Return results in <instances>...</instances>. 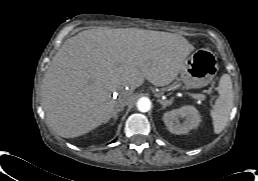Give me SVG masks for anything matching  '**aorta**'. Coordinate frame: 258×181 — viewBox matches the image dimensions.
Returning <instances> with one entry per match:
<instances>
[{"label": "aorta", "mask_w": 258, "mask_h": 181, "mask_svg": "<svg viewBox=\"0 0 258 181\" xmlns=\"http://www.w3.org/2000/svg\"><path fill=\"white\" fill-rule=\"evenodd\" d=\"M137 108L140 112H148L151 108V102L148 98L142 97L137 101Z\"/></svg>", "instance_id": "1"}]
</instances>
